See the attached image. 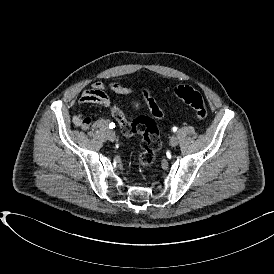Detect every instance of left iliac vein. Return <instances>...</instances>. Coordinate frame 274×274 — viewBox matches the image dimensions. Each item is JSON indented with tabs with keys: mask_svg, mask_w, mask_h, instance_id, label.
Listing matches in <instances>:
<instances>
[{
	"mask_svg": "<svg viewBox=\"0 0 274 274\" xmlns=\"http://www.w3.org/2000/svg\"><path fill=\"white\" fill-rule=\"evenodd\" d=\"M178 138L176 137V136H172L171 138H170V145L172 146V147H175V146H177L178 145Z\"/></svg>",
	"mask_w": 274,
	"mask_h": 274,
	"instance_id": "obj_1",
	"label": "left iliac vein"
}]
</instances>
